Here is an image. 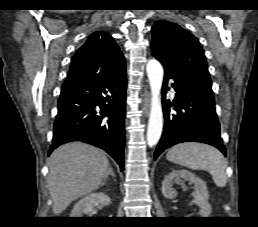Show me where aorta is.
I'll use <instances>...</instances> for the list:
<instances>
[{
  "label": "aorta",
  "instance_id": "762f6f07",
  "mask_svg": "<svg viewBox=\"0 0 258 227\" xmlns=\"http://www.w3.org/2000/svg\"><path fill=\"white\" fill-rule=\"evenodd\" d=\"M146 72L151 89V111L148 121L147 143L152 147L158 143L163 128L160 94L163 81V67L157 60L152 59L147 63Z\"/></svg>",
  "mask_w": 258,
  "mask_h": 227
}]
</instances>
